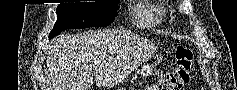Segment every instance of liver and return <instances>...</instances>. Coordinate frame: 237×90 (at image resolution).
Wrapping results in <instances>:
<instances>
[{"label": "liver", "instance_id": "1", "mask_svg": "<svg viewBox=\"0 0 237 90\" xmlns=\"http://www.w3.org/2000/svg\"><path fill=\"white\" fill-rule=\"evenodd\" d=\"M50 48L47 68L52 80H49V90H89L93 84V68L113 62L117 54L114 34L108 30H92L77 36L61 34L52 40Z\"/></svg>", "mask_w": 237, "mask_h": 90}]
</instances>
